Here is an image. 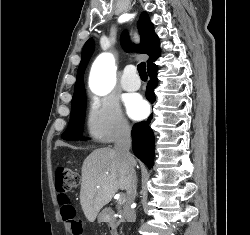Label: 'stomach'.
<instances>
[{"label": "stomach", "mask_w": 250, "mask_h": 235, "mask_svg": "<svg viewBox=\"0 0 250 235\" xmlns=\"http://www.w3.org/2000/svg\"><path fill=\"white\" fill-rule=\"evenodd\" d=\"M99 221H105L106 220V215L104 212L100 213L98 216Z\"/></svg>", "instance_id": "0dacf381"}]
</instances>
